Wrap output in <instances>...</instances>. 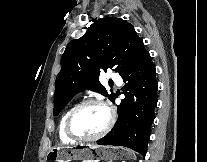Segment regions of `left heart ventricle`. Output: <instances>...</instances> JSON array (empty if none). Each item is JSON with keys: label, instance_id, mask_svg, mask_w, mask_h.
Masks as SVG:
<instances>
[{"label": "left heart ventricle", "instance_id": "left-heart-ventricle-1", "mask_svg": "<svg viewBox=\"0 0 207 162\" xmlns=\"http://www.w3.org/2000/svg\"><path fill=\"white\" fill-rule=\"evenodd\" d=\"M108 120L107 110L92 104L77 114L72 122V130L81 136H91L101 132Z\"/></svg>", "mask_w": 207, "mask_h": 162}]
</instances>
